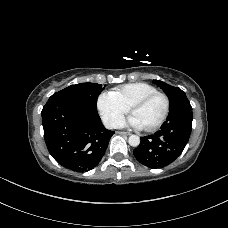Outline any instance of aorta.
Masks as SVG:
<instances>
[{
	"instance_id": "1",
	"label": "aorta",
	"mask_w": 228,
	"mask_h": 228,
	"mask_svg": "<svg viewBox=\"0 0 228 228\" xmlns=\"http://www.w3.org/2000/svg\"><path fill=\"white\" fill-rule=\"evenodd\" d=\"M128 143L132 146V147H137L140 144V138L137 135H131L128 139Z\"/></svg>"
}]
</instances>
